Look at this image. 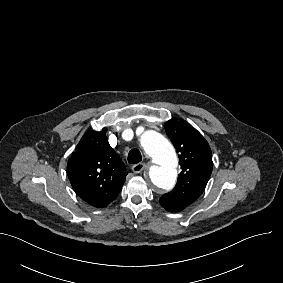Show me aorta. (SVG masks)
<instances>
[{"label":"aorta","instance_id":"obj_1","mask_svg":"<svg viewBox=\"0 0 283 283\" xmlns=\"http://www.w3.org/2000/svg\"><path fill=\"white\" fill-rule=\"evenodd\" d=\"M140 145L155 165L149 177L158 188L171 190L177 178L178 159L172 144L160 133L148 130L140 136Z\"/></svg>","mask_w":283,"mask_h":283}]
</instances>
